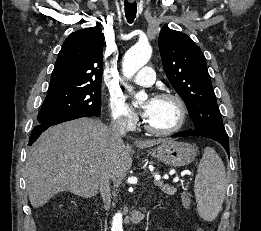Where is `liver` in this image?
<instances>
[{
	"instance_id": "6515ba94",
	"label": "liver",
	"mask_w": 261,
	"mask_h": 231,
	"mask_svg": "<svg viewBox=\"0 0 261 231\" xmlns=\"http://www.w3.org/2000/svg\"><path fill=\"white\" fill-rule=\"evenodd\" d=\"M166 141L135 140L134 145L147 148ZM131 166L123 140L113 139L101 121L80 118L58 124L43 132L28 152L25 180L30 203L38 208L62 191L95 196L104 171L120 182Z\"/></svg>"
}]
</instances>
